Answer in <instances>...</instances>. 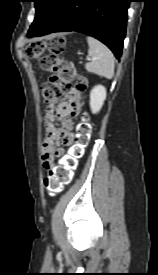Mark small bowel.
Instances as JSON below:
<instances>
[{"label":"small bowel","instance_id":"c3829d8e","mask_svg":"<svg viewBox=\"0 0 158 275\" xmlns=\"http://www.w3.org/2000/svg\"><path fill=\"white\" fill-rule=\"evenodd\" d=\"M81 110L80 96L76 90L69 93L68 100L59 104L47 106L44 115L46 135L42 140L41 156L45 169L53 166L56 158L65 155V149L74 143L73 120L71 117L79 115ZM60 121L62 128L56 126Z\"/></svg>","mask_w":158,"mask_h":275}]
</instances>
